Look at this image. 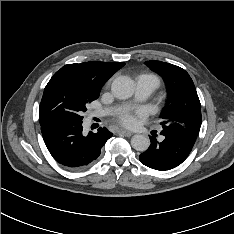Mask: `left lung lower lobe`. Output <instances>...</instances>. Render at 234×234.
<instances>
[{
    "label": "left lung lower lobe",
    "instance_id": "left-lung-lower-lobe-1",
    "mask_svg": "<svg viewBox=\"0 0 234 234\" xmlns=\"http://www.w3.org/2000/svg\"><path fill=\"white\" fill-rule=\"evenodd\" d=\"M163 141L156 139V134L150 136V146L139 156V160L147 167L165 171L177 167L191 152L193 146L183 138L170 132L161 131Z\"/></svg>",
    "mask_w": 234,
    "mask_h": 234
}]
</instances>
